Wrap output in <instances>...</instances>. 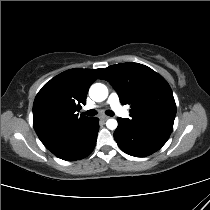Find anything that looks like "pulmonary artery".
Listing matches in <instances>:
<instances>
[{"instance_id":"obj_1","label":"pulmonary artery","mask_w":210,"mask_h":210,"mask_svg":"<svg viewBox=\"0 0 210 210\" xmlns=\"http://www.w3.org/2000/svg\"><path fill=\"white\" fill-rule=\"evenodd\" d=\"M108 104L112 108V110L120 117L126 118L129 116L128 111L122 107L120 104L118 95L112 93L108 98Z\"/></svg>"}]
</instances>
